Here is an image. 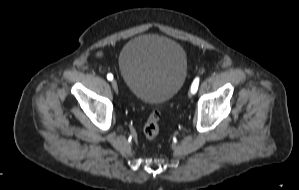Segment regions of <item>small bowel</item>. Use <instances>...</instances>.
<instances>
[{"label":"small bowel","mask_w":299,"mask_h":190,"mask_svg":"<svg viewBox=\"0 0 299 190\" xmlns=\"http://www.w3.org/2000/svg\"><path fill=\"white\" fill-rule=\"evenodd\" d=\"M102 55V53H98V56H101Z\"/></svg>","instance_id":"1"}]
</instances>
